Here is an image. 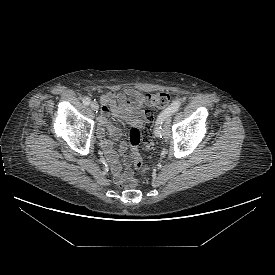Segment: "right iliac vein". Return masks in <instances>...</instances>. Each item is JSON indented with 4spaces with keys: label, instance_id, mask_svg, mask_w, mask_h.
I'll return each instance as SVG.
<instances>
[{
    "label": "right iliac vein",
    "instance_id": "63e3f726",
    "mask_svg": "<svg viewBox=\"0 0 275 275\" xmlns=\"http://www.w3.org/2000/svg\"><path fill=\"white\" fill-rule=\"evenodd\" d=\"M90 106H91V109L94 111H97L99 109V105L95 101L91 102Z\"/></svg>",
    "mask_w": 275,
    "mask_h": 275
}]
</instances>
